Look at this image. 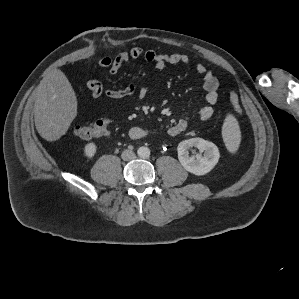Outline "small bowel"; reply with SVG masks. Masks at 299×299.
<instances>
[{
	"mask_svg": "<svg viewBox=\"0 0 299 299\" xmlns=\"http://www.w3.org/2000/svg\"><path fill=\"white\" fill-rule=\"evenodd\" d=\"M144 58L147 62L153 63L155 68L162 71L167 65L174 64H187L189 57L182 53L164 54L156 53L152 50L143 49L140 47H134L128 51L119 53L117 56L111 58L105 56L99 60V65L102 68L108 69L109 73L115 75L118 73L122 65L130 60ZM196 72L203 79V89L205 91L206 105L199 109L196 116L201 121H208L214 115V105L218 102L219 94V82L214 74L209 71L203 64H197L195 67ZM146 76V72L143 71L138 80ZM87 88L90 90L94 99H98L101 96H106L109 99L117 100L124 97L136 94L138 98H144L150 90L147 87H138L136 83H131L122 89H104L100 81L96 79H89L86 82ZM189 124V118L183 117L173 126L168 129L169 136H177L186 130ZM129 135L133 139H140L145 135V130L142 127L134 126L130 129Z\"/></svg>",
	"mask_w": 299,
	"mask_h": 299,
	"instance_id": "small-bowel-1",
	"label": "small bowel"
}]
</instances>
